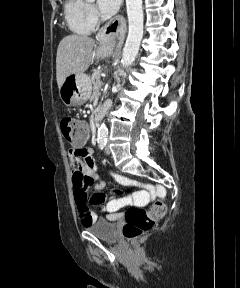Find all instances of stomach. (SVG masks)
Listing matches in <instances>:
<instances>
[{
    "label": "stomach",
    "instance_id": "1",
    "mask_svg": "<svg viewBox=\"0 0 240 288\" xmlns=\"http://www.w3.org/2000/svg\"><path fill=\"white\" fill-rule=\"evenodd\" d=\"M112 49L106 44L96 47L92 60L109 56ZM92 85L90 77L84 73L69 75L59 88V96L68 107L82 105L90 98Z\"/></svg>",
    "mask_w": 240,
    "mask_h": 288
}]
</instances>
